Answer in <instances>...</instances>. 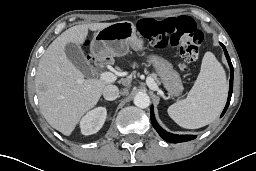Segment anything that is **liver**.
Here are the masks:
<instances>
[{"label": "liver", "instance_id": "1", "mask_svg": "<svg viewBox=\"0 0 256 171\" xmlns=\"http://www.w3.org/2000/svg\"><path fill=\"white\" fill-rule=\"evenodd\" d=\"M112 23H89L71 27L58 36L41 57L36 78L40 110L57 131L69 136L80 118L99 101L104 80L84 79L82 72L67 58L65 45L84 43L88 30L97 31Z\"/></svg>", "mask_w": 256, "mask_h": 171}]
</instances>
